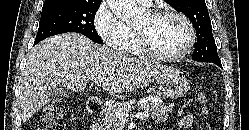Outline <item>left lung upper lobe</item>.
<instances>
[{
  "label": "left lung upper lobe",
  "mask_w": 249,
  "mask_h": 130,
  "mask_svg": "<svg viewBox=\"0 0 249 130\" xmlns=\"http://www.w3.org/2000/svg\"><path fill=\"white\" fill-rule=\"evenodd\" d=\"M175 10L185 14L197 34L192 59L200 62H220L205 0H166Z\"/></svg>",
  "instance_id": "5c2ea615"
}]
</instances>
